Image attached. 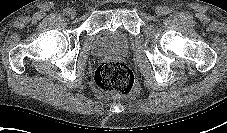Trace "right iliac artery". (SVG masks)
Masks as SVG:
<instances>
[{
  "label": "right iliac artery",
  "mask_w": 227,
  "mask_h": 133,
  "mask_svg": "<svg viewBox=\"0 0 227 133\" xmlns=\"http://www.w3.org/2000/svg\"><path fill=\"white\" fill-rule=\"evenodd\" d=\"M69 12H70V8H65V9H64V14H65V15H68Z\"/></svg>",
  "instance_id": "right-iliac-artery-1"
}]
</instances>
